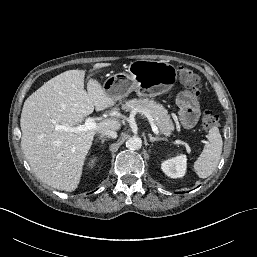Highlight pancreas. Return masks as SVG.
Returning a JSON list of instances; mask_svg holds the SVG:
<instances>
[{
    "mask_svg": "<svg viewBox=\"0 0 257 257\" xmlns=\"http://www.w3.org/2000/svg\"><path fill=\"white\" fill-rule=\"evenodd\" d=\"M123 110L126 112L138 113L140 115H148L154 121L158 130L166 135L170 136L174 130V124L168 115V112L162 105L149 99H132L127 101L123 106Z\"/></svg>",
    "mask_w": 257,
    "mask_h": 257,
    "instance_id": "pancreas-1",
    "label": "pancreas"
}]
</instances>
